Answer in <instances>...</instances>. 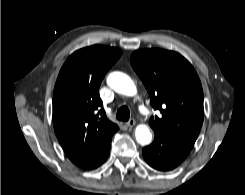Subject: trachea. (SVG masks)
Returning <instances> with one entry per match:
<instances>
[{
	"instance_id": "1",
	"label": "trachea",
	"mask_w": 245,
	"mask_h": 195,
	"mask_svg": "<svg viewBox=\"0 0 245 195\" xmlns=\"http://www.w3.org/2000/svg\"><path fill=\"white\" fill-rule=\"evenodd\" d=\"M130 117V111L127 106H122L116 113V118L121 121H128Z\"/></svg>"
}]
</instances>
